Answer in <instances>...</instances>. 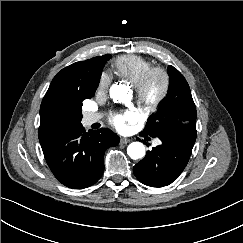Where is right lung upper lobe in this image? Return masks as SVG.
Instances as JSON below:
<instances>
[{
    "instance_id": "cb5924a9",
    "label": "right lung upper lobe",
    "mask_w": 243,
    "mask_h": 243,
    "mask_svg": "<svg viewBox=\"0 0 243 243\" xmlns=\"http://www.w3.org/2000/svg\"><path fill=\"white\" fill-rule=\"evenodd\" d=\"M104 58L105 55L73 63L53 78L41 103L39 133L73 125L74 104L93 97Z\"/></svg>"
}]
</instances>
